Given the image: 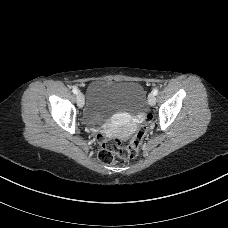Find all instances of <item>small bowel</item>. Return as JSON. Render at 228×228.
<instances>
[{"mask_svg":"<svg viewBox=\"0 0 228 228\" xmlns=\"http://www.w3.org/2000/svg\"><path fill=\"white\" fill-rule=\"evenodd\" d=\"M99 139H103L104 137V133L103 132H100L99 135H98Z\"/></svg>","mask_w":228,"mask_h":228,"instance_id":"1","label":"small bowel"}]
</instances>
